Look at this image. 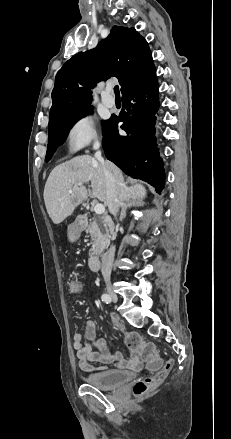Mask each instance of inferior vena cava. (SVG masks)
Masks as SVG:
<instances>
[{
	"instance_id": "obj_1",
	"label": "inferior vena cava",
	"mask_w": 231,
	"mask_h": 439,
	"mask_svg": "<svg viewBox=\"0 0 231 439\" xmlns=\"http://www.w3.org/2000/svg\"><path fill=\"white\" fill-rule=\"evenodd\" d=\"M93 148L94 150H96L95 158L101 163L103 167V172L107 186V194L110 201L109 210L114 216H116L118 209L122 204L118 198L117 182L112 174L111 164L109 162L104 161L101 155V151L99 150L100 148L99 142H96ZM114 255H115V246H111L101 258V272L105 280L110 279Z\"/></svg>"
}]
</instances>
